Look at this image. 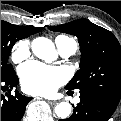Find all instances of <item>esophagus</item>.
I'll use <instances>...</instances> for the list:
<instances>
[{
    "label": "esophagus",
    "instance_id": "esophagus-1",
    "mask_svg": "<svg viewBox=\"0 0 121 121\" xmlns=\"http://www.w3.org/2000/svg\"><path fill=\"white\" fill-rule=\"evenodd\" d=\"M48 103L51 104V105H54V104L56 103V101H54V100H49Z\"/></svg>",
    "mask_w": 121,
    "mask_h": 121
}]
</instances>
